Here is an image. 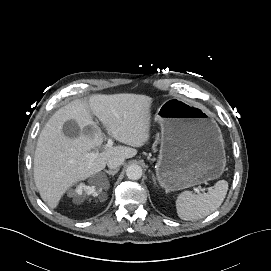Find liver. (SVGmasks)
<instances>
[{"instance_id":"1","label":"liver","mask_w":271,"mask_h":271,"mask_svg":"<svg viewBox=\"0 0 271 271\" xmlns=\"http://www.w3.org/2000/svg\"><path fill=\"white\" fill-rule=\"evenodd\" d=\"M152 100L145 95H94L88 102L75 100L59 109L41 131L34 156V180L42 200L56 208L64 193L79 181L103 170L111 158H132L150 138ZM95 115L109 135L129 145L104 147L91 161L85 154L99 148L104 137L93 121ZM75 121L78 137L63 133L66 121ZM92 130L85 133V128Z\"/></svg>"}]
</instances>
